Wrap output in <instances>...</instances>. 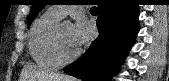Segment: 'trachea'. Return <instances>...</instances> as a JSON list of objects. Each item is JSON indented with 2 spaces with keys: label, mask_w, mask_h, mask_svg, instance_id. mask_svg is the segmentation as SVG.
<instances>
[{
  "label": "trachea",
  "mask_w": 169,
  "mask_h": 81,
  "mask_svg": "<svg viewBox=\"0 0 169 81\" xmlns=\"http://www.w3.org/2000/svg\"><path fill=\"white\" fill-rule=\"evenodd\" d=\"M91 10L92 11H98V8L97 7H92Z\"/></svg>",
  "instance_id": "3493384b"
}]
</instances>
